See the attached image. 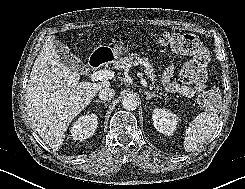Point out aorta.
Listing matches in <instances>:
<instances>
[{"label":"aorta","mask_w":245,"mask_h":189,"mask_svg":"<svg viewBox=\"0 0 245 189\" xmlns=\"http://www.w3.org/2000/svg\"><path fill=\"white\" fill-rule=\"evenodd\" d=\"M138 105V99L133 94H127L122 100V107L126 110H135Z\"/></svg>","instance_id":"1"}]
</instances>
